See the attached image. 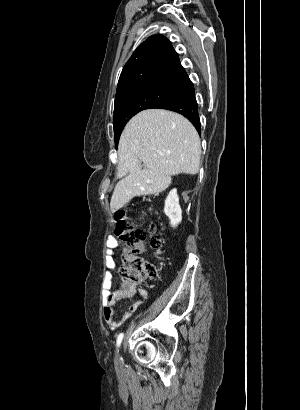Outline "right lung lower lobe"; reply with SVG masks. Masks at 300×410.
Segmentation results:
<instances>
[{"label": "right lung lower lobe", "instance_id": "1", "mask_svg": "<svg viewBox=\"0 0 300 410\" xmlns=\"http://www.w3.org/2000/svg\"><path fill=\"white\" fill-rule=\"evenodd\" d=\"M161 109L172 110L185 116L200 133L201 125L198 115V104L195 98V91L190 81L186 89L174 100L160 107Z\"/></svg>", "mask_w": 300, "mask_h": 410}]
</instances>
